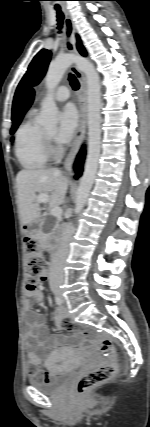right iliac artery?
I'll list each match as a JSON object with an SVG mask.
<instances>
[{
  "instance_id": "right-iliac-artery-1",
  "label": "right iliac artery",
  "mask_w": 150,
  "mask_h": 427,
  "mask_svg": "<svg viewBox=\"0 0 150 427\" xmlns=\"http://www.w3.org/2000/svg\"><path fill=\"white\" fill-rule=\"evenodd\" d=\"M55 302H56L58 305H61V304H62V300H61V298H60L59 296H56V297H55Z\"/></svg>"
}]
</instances>
